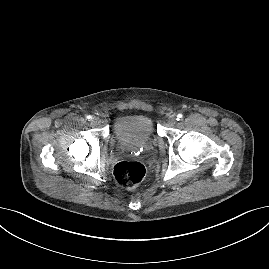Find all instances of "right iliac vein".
Returning <instances> with one entry per match:
<instances>
[{
	"mask_svg": "<svg viewBox=\"0 0 269 269\" xmlns=\"http://www.w3.org/2000/svg\"><path fill=\"white\" fill-rule=\"evenodd\" d=\"M92 123H93L94 125H98V124H100V119H99L98 117H93V118H92Z\"/></svg>",
	"mask_w": 269,
	"mask_h": 269,
	"instance_id": "1",
	"label": "right iliac vein"
}]
</instances>
